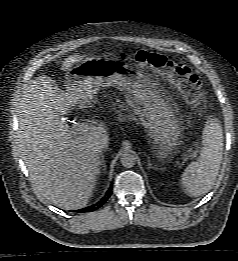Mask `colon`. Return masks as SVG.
<instances>
[{"label":"colon","mask_w":238,"mask_h":261,"mask_svg":"<svg viewBox=\"0 0 238 261\" xmlns=\"http://www.w3.org/2000/svg\"><path fill=\"white\" fill-rule=\"evenodd\" d=\"M130 58L147 66L169 80L182 93L186 102L197 112L206 107L203 84L199 76L186 64L170 59L159 53L139 50Z\"/></svg>","instance_id":"5ec220e1"}]
</instances>
